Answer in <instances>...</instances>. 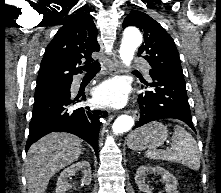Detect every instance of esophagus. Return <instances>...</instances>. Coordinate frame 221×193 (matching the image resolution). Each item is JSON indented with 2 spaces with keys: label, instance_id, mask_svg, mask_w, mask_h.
<instances>
[{
  "label": "esophagus",
  "instance_id": "obj_1",
  "mask_svg": "<svg viewBox=\"0 0 221 193\" xmlns=\"http://www.w3.org/2000/svg\"><path fill=\"white\" fill-rule=\"evenodd\" d=\"M109 69L114 74L123 72L121 62L116 54H114L112 56V59L110 61V65H109ZM126 112L131 114L134 117V119H136V120H138L140 117V113L136 109H129Z\"/></svg>",
  "mask_w": 221,
  "mask_h": 193
}]
</instances>
